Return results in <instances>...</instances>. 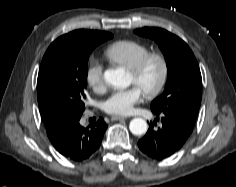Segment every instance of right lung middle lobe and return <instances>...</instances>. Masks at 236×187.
Segmentation results:
<instances>
[{
  "label": "right lung middle lobe",
  "instance_id": "dd1d6c3e",
  "mask_svg": "<svg viewBox=\"0 0 236 187\" xmlns=\"http://www.w3.org/2000/svg\"><path fill=\"white\" fill-rule=\"evenodd\" d=\"M112 37L110 33L80 39L63 35L49 46L37 79L39 111L45 126L65 128L80 119L85 107L89 55Z\"/></svg>",
  "mask_w": 236,
  "mask_h": 187
}]
</instances>
